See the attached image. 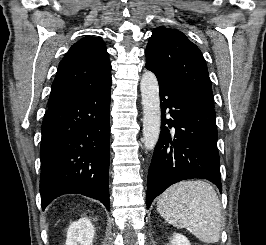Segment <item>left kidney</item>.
Listing matches in <instances>:
<instances>
[{
  "label": "left kidney",
  "mask_w": 266,
  "mask_h": 245,
  "mask_svg": "<svg viewBox=\"0 0 266 245\" xmlns=\"http://www.w3.org/2000/svg\"><path fill=\"white\" fill-rule=\"evenodd\" d=\"M170 245H191L187 237L180 235V233H174L173 239L170 241Z\"/></svg>",
  "instance_id": "5707ae66"
}]
</instances>
